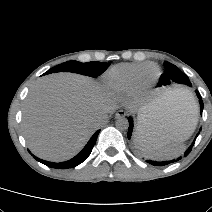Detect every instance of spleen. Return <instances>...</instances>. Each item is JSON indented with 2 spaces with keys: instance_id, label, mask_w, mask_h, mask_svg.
I'll list each match as a JSON object with an SVG mask.
<instances>
[{
  "instance_id": "obj_1",
  "label": "spleen",
  "mask_w": 212,
  "mask_h": 212,
  "mask_svg": "<svg viewBox=\"0 0 212 212\" xmlns=\"http://www.w3.org/2000/svg\"><path fill=\"white\" fill-rule=\"evenodd\" d=\"M169 97H174L189 111H197V104L193 94L188 90L174 89L166 93ZM151 115L138 116V126L135 132V142L137 146L150 158L169 159L181 154L185 148L183 142L185 137L177 133L163 135L158 131L145 128Z\"/></svg>"
}]
</instances>
